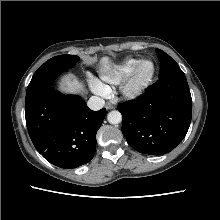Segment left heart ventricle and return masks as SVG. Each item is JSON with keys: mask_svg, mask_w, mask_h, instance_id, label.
Returning <instances> with one entry per match:
<instances>
[{"mask_svg": "<svg viewBox=\"0 0 220 220\" xmlns=\"http://www.w3.org/2000/svg\"><path fill=\"white\" fill-rule=\"evenodd\" d=\"M151 68H152V66H151L150 62H148V61L144 62L138 70V73H137L138 80L139 81L144 80L150 74Z\"/></svg>", "mask_w": 220, "mask_h": 220, "instance_id": "left-heart-ventricle-1", "label": "left heart ventricle"}]
</instances>
